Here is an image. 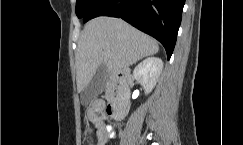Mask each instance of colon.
Segmentation results:
<instances>
[{
    "instance_id": "5ec220e1",
    "label": "colon",
    "mask_w": 243,
    "mask_h": 145,
    "mask_svg": "<svg viewBox=\"0 0 243 145\" xmlns=\"http://www.w3.org/2000/svg\"><path fill=\"white\" fill-rule=\"evenodd\" d=\"M95 128H99L98 124H96V123H95ZM95 128H93V127L87 125V126L84 128V131H83L84 136H86V137L91 136L92 133L95 131Z\"/></svg>"
}]
</instances>
